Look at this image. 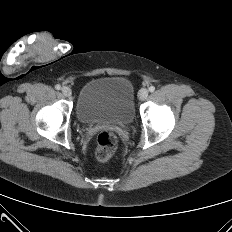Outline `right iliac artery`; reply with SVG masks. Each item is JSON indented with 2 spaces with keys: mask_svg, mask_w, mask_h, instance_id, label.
<instances>
[{
  "mask_svg": "<svg viewBox=\"0 0 232 232\" xmlns=\"http://www.w3.org/2000/svg\"><path fill=\"white\" fill-rule=\"evenodd\" d=\"M55 89L56 90H60L61 89V86L59 84L55 85Z\"/></svg>",
  "mask_w": 232,
  "mask_h": 232,
  "instance_id": "obj_1",
  "label": "right iliac artery"
}]
</instances>
